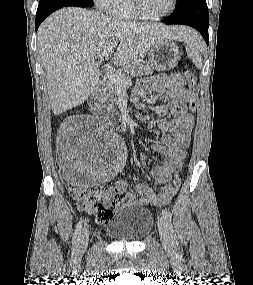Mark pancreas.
I'll return each instance as SVG.
<instances>
[{"instance_id": "1", "label": "pancreas", "mask_w": 253, "mask_h": 285, "mask_svg": "<svg viewBox=\"0 0 253 285\" xmlns=\"http://www.w3.org/2000/svg\"><path fill=\"white\" fill-rule=\"evenodd\" d=\"M152 73L153 68L151 66L137 61L124 66L116 72L117 75L123 78L148 76ZM118 87L108 78L102 82V87L100 88L101 101L108 109H115L114 102L116 101Z\"/></svg>"}]
</instances>
